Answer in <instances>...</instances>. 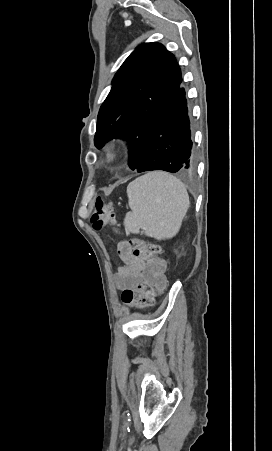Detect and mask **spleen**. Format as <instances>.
Returning a JSON list of instances; mask_svg holds the SVG:
<instances>
[{"label": "spleen", "instance_id": "1", "mask_svg": "<svg viewBox=\"0 0 272 451\" xmlns=\"http://www.w3.org/2000/svg\"><path fill=\"white\" fill-rule=\"evenodd\" d=\"M127 233H145L156 239L173 237L189 208L185 184L167 172H148L127 186ZM143 229V231H140Z\"/></svg>", "mask_w": 272, "mask_h": 451}]
</instances>
